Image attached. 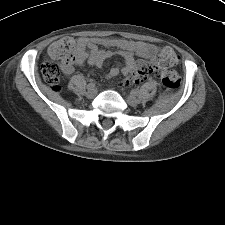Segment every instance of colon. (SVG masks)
I'll list each match as a JSON object with an SVG mask.
<instances>
[{
  "mask_svg": "<svg viewBox=\"0 0 225 225\" xmlns=\"http://www.w3.org/2000/svg\"><path fill=\"white\" fill-rule=\"evenodd\" d=\"M76 62V51L74 42L70 38H63L55 42L49 49L48 57L42 64V75L47 84L53 89L59 88L61 80V67L72 65ZM179 58L170 48H165L159 55L157 64L141 62L138 64L134 73L124 79L120 86L129 88L134 84H140L151 75H157L166 92H172L179 88L180 77L170 69L177 65Z\"/></svg>",
  "mask_w": 225,
  "mask_h": 225,
  "instance_id": "1",
  "label": "colon"
}]
</instances>
